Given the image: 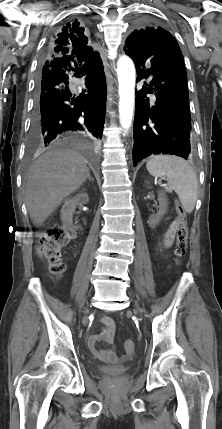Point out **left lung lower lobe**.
I'll list each match as a JSON object with an SVG mask.
<instances>
[{
    "instance_id": "0a47b994",
    "label": "left lung lower lobe",
    "mask_w": 222,
    "mask_h": 429,
    "mask_svg": "<svg viewBox=\"0 0 222 429\" xmlns=\"http://www.w3.org/2000/svg\"><path fill=\"white\" fill-rule=\"evenodd\" d=\"M156 45L133 44L126 54L137 70V82L153 75L136 91L133 165L152 154L184 159L191 153V115L184 59L176 39L167 32ZM155 93L151 103L147 94Z\"/></svg>"
}]
</instances>
